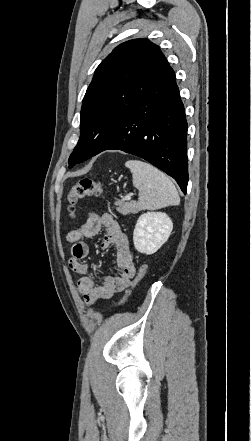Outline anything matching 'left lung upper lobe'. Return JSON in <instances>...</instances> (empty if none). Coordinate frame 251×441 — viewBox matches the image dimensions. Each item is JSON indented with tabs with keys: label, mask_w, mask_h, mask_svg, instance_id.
I'll use <instances>...</instances> for the list:
<instances>
[{
	"label": "left lung upper lobe",
	"mask_w": 251,
	"mask_h": 441,
	"mask_svg": "<svg viewBox=\"0 0 251 441\" xmlns=\"http://www.w3.org/2000/svg\"><path fill=\"white\" fill-rule=\"evenodd\" d=\"M169 64L148 39L118 45L97 67L83 99L80 138L69 157V168L87 160L85 141L95 124L128 114Z\"/></svg>",
	"instance_id": "5c2ea615"
}]
</instances>
